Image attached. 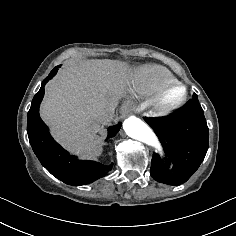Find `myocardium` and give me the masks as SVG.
Segmentation results:
<instances>
[{
    "label": "myocardium",
    "instance_id": "myocardium-1",
    "mask_svg": "<svg viewBox=\"0 0 236 236\" xmlns=\"http://www.w3.org/2000/svg\"><path fill=\"white\" fill-rule=\"evenodd\" d=\"M178 94L170 99V95ZM188 99V90L180 82H174L162 87L153 98V109L159 116H169L179 110Z\"/></svg>",
    "mask_w": 236,
    "mask_h": 236
}]
</instances>
